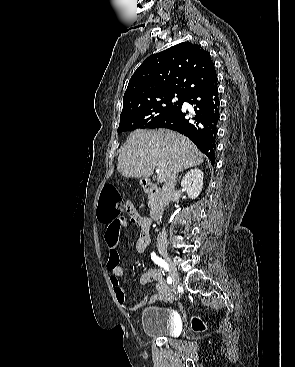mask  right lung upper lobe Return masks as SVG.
I'll use <instances>...</instances> for the list:
<instances>
[{
	"label": "right lung upper lobe",
	"instance_id": "obj_1",
	"mask_svg": "<svg viewBox=\"0 0 295 367\" xmlns=\"http://www.w3.org/2000/svg\"><path fill=\"white\" fill-rule=\"evenodd\" d=\"M216 78L210 54L199 45L182 42L148 57L134 72L123 97L130 103L164 94L187 96Z\"/></svg>",
	"mask_w": 295,
	"mask_h": 367
}]
</instances>
